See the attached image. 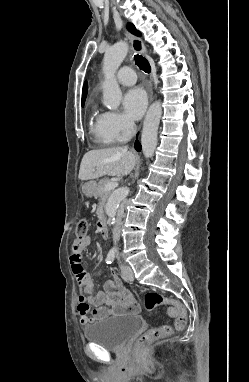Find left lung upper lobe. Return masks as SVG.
Instances as JSON below:
<instances>
[{"label":"left lung upper lobe","mask_w":249,"mask_h":382,"mask_svg":"<svg viewBox=\"0 0 249 382\" xmlns=\"http://www.w3.org/2000/svg\"><path fill=\"white\" fill-rule=\"evenodd\" d=\"M128 30L134 35L140 36V32L136 30L133 24H128Z\"/></svg>","instance_id":"obj_1"}]
</instances>
